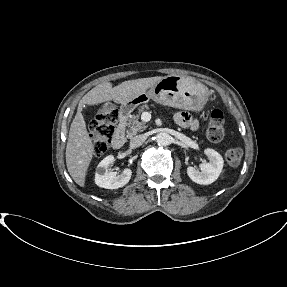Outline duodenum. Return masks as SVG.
<instances>
[{"label": "duodenum", "instance_id": "1", "mask_svg": "<svg viewBox=\"0 0 287 287\" xmlns=\"http://www.w3.org/2000/svg\"><path fill=\"white\" fill-rule=\"evenodd\" d=\"M126 123H127V113L123 112L121 114L118 126L114 133L112 139V145L114 148L119 149L123 147L126 140Z\"/></svg>", "mask_w": 287, "mask_h": 287}]
</instances>
